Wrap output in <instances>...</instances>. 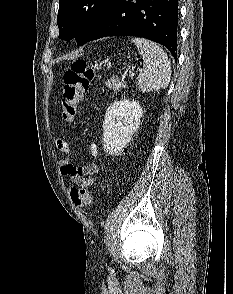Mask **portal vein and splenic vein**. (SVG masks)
Listing matches in <instances>:
<instances>
[{
	"label": "portal vein and splenic vein",
	"mask_w": 233,
	"mask_h": 294,
	"mask_svg": "<svg viewBox=\"0 0 233 294\" xmlns=\"http://www.w3.org/2000/svg\"><path fill=\"white\" fill-rule=\"evenodd\" d=\"M137 71H141V69L140 68H137ZM130 76L133 78L134 77V73H131ZM124 78H125V75L122 76V79H124Z\"/></svg>",
	"instance_id": "18ae733b"
}]
</instances>
